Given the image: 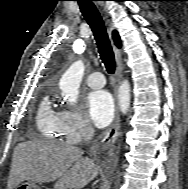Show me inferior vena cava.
Here are the masks:
<instances>
[{
    "instance_id": "1",
    "label": "inferior vena cava",
    "mask_w": 188,
    "mask_h": 189,
    "mask_svg": "<svg viewBox=\"0 0 188 189\" xmlns=\"http://www.w3.org/2000/svg\"><path fill=\"white\" fill-rule=\"evenodd\" d=\"M82 136L85 141H89L94 136V129L91 126H87L82 130Z\"/></svg>"
}]
</instances>
